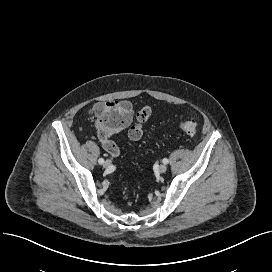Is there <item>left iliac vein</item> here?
Masks as SVG:
<instances>
[{
  "label": "left iliac vein",
  "instance_id": "1",
  "mask_svg": "<svg viewBox=\"0 0 272 272\" xmlns=\"http://www.w3.org/2000/svg\"><path fill=\"white\" fill-rule=\"evenodd\" d=\"M158 170L160 173H165L166 170H167V166L165 164H161L159 167H158Z\"/></svg>",
  "mask_w": 272,
  "mask_h": 272
}]
</instances>
